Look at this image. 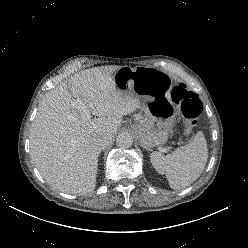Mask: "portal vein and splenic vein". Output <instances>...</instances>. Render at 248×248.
Segmentation results:
<instances>
[{"label":"portal vein and splenic vein","mask_w":248,"mask_h":248,"mask_svg":"<svg viewBox=\"0 0 248 248\" xmlns=\"http://www.w3.org/2000/svg\"><path fill=\"white\" fill-rule=\"evenodd\" d=\"M82 117H84V118H90V112H89V110L83 105L82 106Z\"/></svg>","instance_id":"18ae733b"}]
</instances>
